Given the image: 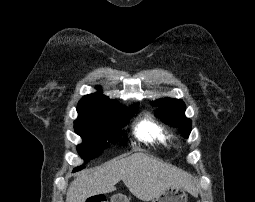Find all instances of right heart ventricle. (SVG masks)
<instances>
[{
	"label": "right heart ventricle",
	"instance_id": "obj_1",
	"mask_svg": "<svg viewBox=\"0 0 255 202\" xmlns=\"http://www.w3.org/2000/svg\"><path fill=\"white\" fill-rule=\"evenodd\" d=\"M136 135L146 142H157L167 144L171 140V135L152 118L140 121L136 126Z\"/></svg>",
	"mask_w": 255,
	"mask_h": 202
}]
</instances>
